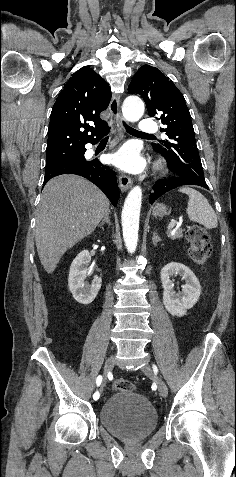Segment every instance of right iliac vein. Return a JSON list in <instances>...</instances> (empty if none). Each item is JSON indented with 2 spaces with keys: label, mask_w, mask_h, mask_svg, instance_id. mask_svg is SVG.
<instances>
[{
  "label": "right iliac vein",
  "mask_w": 236,
  "mask_h": 477,
  "mask_svg": "<svg viewBox=\"0 0 236 477\" xmlns=\"http://www.w3.org/2000/svg\"><path fill=\"white\" fill-rule=\"evenodd\" d=\"M113 363H114V357H113V355H111V356L108 358V360L106 361L105 371H104V381H103V385H100V386H99V389H100L101 392H104V389H105V386H104V385H105L106 376H107V373H108L110 370H112V368H113ZM101 392H100L99 394H100V397L103 399V398H104V397H103L104 395H103Z\"/></svg>",
  "instance_id": "63e3f726"
}]
</instances>
